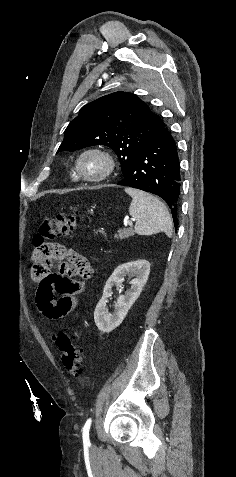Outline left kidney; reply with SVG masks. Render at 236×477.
Wrapping results in <instances>:
<instances>
[{"mask_svg":"<svg viewBox=\"0 0 236 477\" xmlns=\"http://www.w3.org/2000/svg\"><path fill=\"white\" fill-rule=\"evenodd\" d=\"M150 273V263L146 260H137L118 266L107 280L103 296L98 302L94 320L98 329L102 333H109L117 328L126 317L129 309L139 297L144 285L146 284ZM126 275L136 276L131 281V288L120 295L115 303V310L112 314H106L107 298L112 295L114 284H121Z\"/></svg>","mask_w":236,"mask_h":477,"instance_id":"obj_1","label":"left kidney"}]
</instances>
